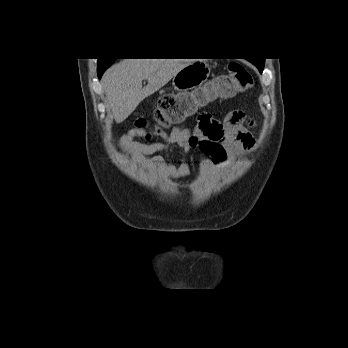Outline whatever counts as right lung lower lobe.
<instances>
[{"instance_id":"obj_1","label":"right lung lower lobe","mask_w":348,"mask_h":348,"mask_svg":"<svg viewBox=\"0 0 348 348\" xmlns=\"http://www.w3.org/2000/svg\"><path fill=\"white\" fill-rule=\"evenodd\" d=\"M108 67H98V77L101 78L103 72L107 69Z\"/></svg>"}]
</instances>
